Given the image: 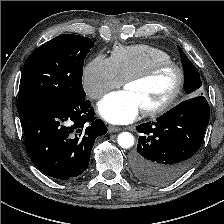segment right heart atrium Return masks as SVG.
Here are the masks:
<instances>
[{
	"label": "right heart atrium",
	"mask_w": 224,
	"mask_h": 224,
	"mask_svg": "<svg viewBox=\"0 0 224 224\" xmlns=\"http://www.w3.org/2000/svg\"><path fill=\"white\" fill-rule=\"evenodd\" d=\"M123 81L110 58L97 55L83 69L82 84L91 99H99L108 91L118 88Z\"/></svg>",
	"instance_id": "obj_1"
}]
</instances>
